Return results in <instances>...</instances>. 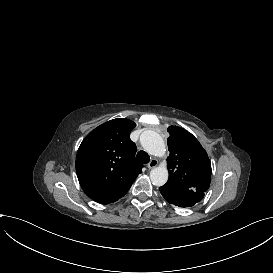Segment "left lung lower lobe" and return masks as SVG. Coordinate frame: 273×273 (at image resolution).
I'll return each instance as SVG.
<instances>
[{
  "label": "left lung lower lobe",
  "mask_w": 273,
  "mask_h": 273,
  "mask_svg": "<svg viewBox=\"0 0 273 273\" xmlns=\"http://www.w3.org/2000/svg\"><path fill=\"white\" fill-rule=\"evenodd\" d=\"M160 192L167 202L179 207L193 206L204 197V193L201 192L190 189H171L164 186L160 187Z\"/></svg>",
  "instance_id": "left-lung-lower-lobe-1"
}]
</instances>
